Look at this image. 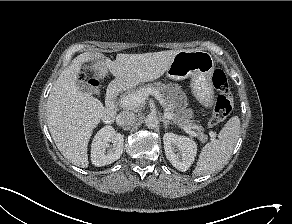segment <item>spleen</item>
Segmentation results:
<instances>
[{"instance_id": "3e777b00", "label": "spleen", "mask_w": 292, "mask_h": 224, "mask_svg": "<svg viewBox=\"0 0 292 224\" xmlns=\"http://www.w3.org/2000/svg\"><path fill=\"white\" fill-rule=\"evenodd\" d=\"M240 134V119L232 117L218 134L217 140L207 143L200 152L193 174L210 175L223 169L227 164Z\"/></svg>"}]
</instances>
